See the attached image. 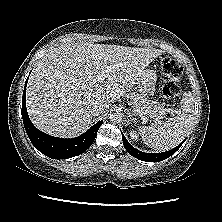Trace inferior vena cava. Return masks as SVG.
I'll list each match as a JSON object with an SVG mask.
<instances>
[{"label":"inferior vena cava","instance_id":"inferior-vena-cava-1","mask_svg":"<svg viewBox=\"0 0 222 222\" xmlns=\"http://www.w3.org/2000/svg\"><path fill=\"white\" fill-rule=\"evenodd\" d=\"M105 110H106V108H105L104 105H97V106H95L94 108L91 109L90 113L93 116H98V115L104 113Z\"/></svg>","mask_w":222,"mask_h":222}]
</instances>
